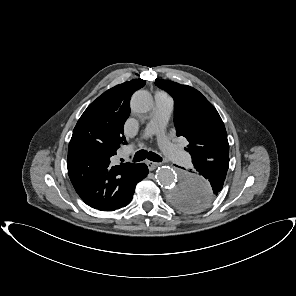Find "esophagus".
<instances>
[{
  "label": "esophagus",
  "instance_id": "1",
  "mask_svg": "<svg viewBox=\"0 0 296 296\" xmlns=\"http://www.w3.org/2000/svg\"><path fill=\"white\" fill-rule=\"evenodd\" d=\"M146 164H147L150 171L155 170L160 165V163H156V162H152V161H147Z\"/></svg>",
  "mask_w": 296,
  "mask_h": 296
}]
</instances>
